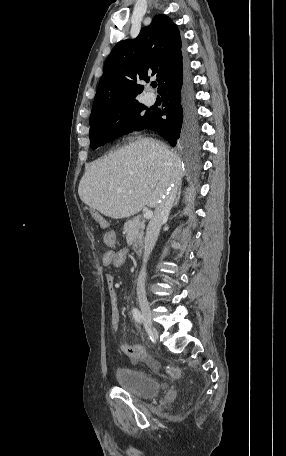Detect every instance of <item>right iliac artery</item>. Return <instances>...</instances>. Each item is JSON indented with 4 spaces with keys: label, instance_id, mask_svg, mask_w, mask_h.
I'll return each instance as SVG.
<instances>
[{
    "label": "right iliac artery",
    "instance_id": "82829eb1",
    "mask_svg": "<svg viewBox=\"0 0 286 456\" xmlns=\"http://www.w3.org/2000/svg\"><path fill=\"white\" fill-rule=\"evenodd\" d=\"M132 314H133V318L135 319V321L138 322L139 324H141L143 321V316H142L141 312L137 308H133Z\"/></svg>",
    "mask_w": 286,
    "mask_h": 456
}]
</instances>
